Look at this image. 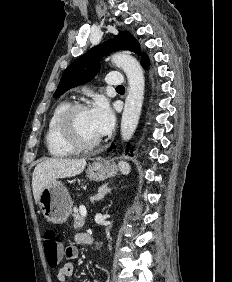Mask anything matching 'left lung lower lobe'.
<instances>
[{
  "instance_id": "obj_1",
  "label": "left lung lower lobe",
  "mask_w": 232,
  "mask_h": 282,
  "mask_svg": "<svg viewBox=\"0 0 232 282\" xmlns=\"http://www.w3.org/2000/svg\"><path fill=\"white\" fill-rule=\"evenodd\" d=\"M148 63H149L148 57L146 56V54L142 53V55H141V64H142V66H147ZM111 148L114 149L115 145H112ZM126 152H128V148L126 149Z\"/></svg>"
}]
</instances>
